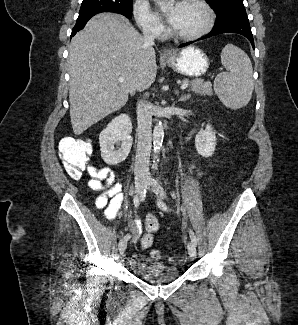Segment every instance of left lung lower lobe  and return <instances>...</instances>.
<instances>
[{
	"label": "left lung lower lobe",
	"instance_id": "left-lung-lower-lobe-1",
	"mask_svg": "<svg viewBox=\"0 0 298 325\" xmlns=\"http://www.w3.org/2000/svg\"><path fill=\"white\" fill-rule=\"evenodd\" d=\"M222 33L241 34L249 39V41L251 42L254 48L253 35L251 32V28H250V24H249V20L245 8L232 10L227 14H225L222 18L217 19L212 31L208 35L198 40L206 39L211 36H215ZM193 42L194 41L181 44L179 47L187 46L189 44H192Z\"/></svg>",
	"mask_w": 298,
	"mask_h": 325
}]
</instances>
